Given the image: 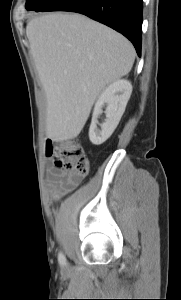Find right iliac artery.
Wrapping results in <instances>:
<instances>
[{"label":"right iliac artery","instance_id":"right-iliac-artery-1","mask_svg":"<svg viewBox=\"0 0 181 300\" xmlns=\"http://www.w3.org/2000/svg\"><path fill=\"white\" fill-rule=\"evenodd\" d=\"M58 260H59V263L63 266V265H66V258L64 256V254L62 252L59 253L58 255Z\"/></svg>","mask_w":181,"mask_h":300}]
</instances>
